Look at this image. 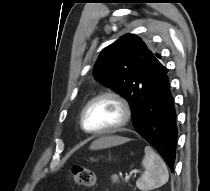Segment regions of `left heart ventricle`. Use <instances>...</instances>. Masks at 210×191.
Returning <instances> with one entry per match:
<instances>
[{
  "label": "left heart ventricle",
  "mask_w": 210,
  "mask_h": 191,
  "mask_svg": "<svg viewBox=\"0 0 210 191\" xmlns=\"http://www.w3.org/2000/svg\"><path fill=\"white\" fill-rule=\"evenodd\" d=\"M122 117L120 106L111 99L94 102L86 111L85 126L89 130H98L117 124Z\"/></svg>",
  "instance_id": "left-heart-ventricle-1"
}]
</instances>
